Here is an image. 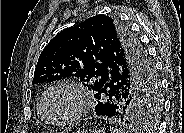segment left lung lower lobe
<instances>
[{"label":"left lung lower lobe","instance_id":"left-lung-lower-lobe-1","mask_svg":"<svg viewBox=\"0 0 184 133\" xmlns=\"http://www.w3.org/2000/svg\"><path fill=\"white\" fill-rule=\"evenodd\" d=\"M108 67L111 68V80H109L107 72L108 78L105 85L94 94L98 102L95 107V112L97 115L117 118L120 109L119 102L127 91V78L125 71L122 70L116 60H110ZM143 88L148 92H152V87L148 82H143Z\"/></svg>","mask_w":184,"mask_h":133}]
</instances>
